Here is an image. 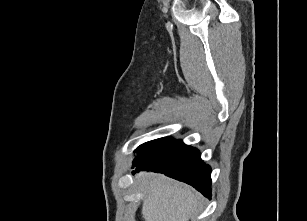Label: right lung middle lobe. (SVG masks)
I'll use <instances>...</instances> for the list:
<instances>
[{
	"label": "right lung middle lobe",
	"instance_id": "dd1d6c3e",
	"mask_svg": "<svg viewBox=\"0 0 307 221\" xmlns=\"http://www.w3.org/2000/svg\"><path fill=\"white\" fill-rule=\"evenodd\" d=\"M173 140L174 139H172V138H159V139H156V140H153V141H149V142H146V143L140 145L136 149V152L147 151L149 149L161 146V145L166 144L168 142H171Z\"/></svg>",
	"mask_w": 307,
	"mask_h": 221
}]
</instances>
